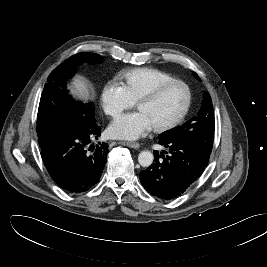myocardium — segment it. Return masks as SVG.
<instances>
[{"instance_id":"1","label":"myocardium","mask_w":267,"mask_h":267,"mask_svg":"<svg viewBox=\"0 0 267 267\" xmlns=\"http://www.w3.org/2000/svg\"><path fill=\"white\" fill-rule=\"evenodd\" d=\"M173 85H181L185 88L186 94H187L185 106L183 110L181 111V113L172 121L165 123L163 125H160V126L151 127V130L155 133H164V132L173 130L185 120L191 108V104H192V92H191L189 85L182 80L172 79V80H169V81H166V82H163L157 85L152 90L140 96L135 102V107L138 108L139 105L154 100L156 97H158L162 93V91H164L166 88L173 86Z\"/></svg>"}]
</instances>
